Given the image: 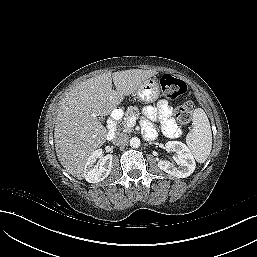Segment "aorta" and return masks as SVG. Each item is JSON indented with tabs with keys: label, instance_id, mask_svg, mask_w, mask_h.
<instances>
[{
	"label": "aorta",
	"instance_id": "762f6f07",
	"mask_svg": "<svg viewBox=\"0 0 257 257\" xmlns=\"http://www.w3.org/2000/svg\"><path fill=\"white\" fill-rule=\"evenodd\" d=\"M140 144H141V141L138 137H132L130 139V146L132 148H138L140 146Z\"/></svg>",
	"mask_w": 257,
	"mask_h": 257
}]
</instances>
